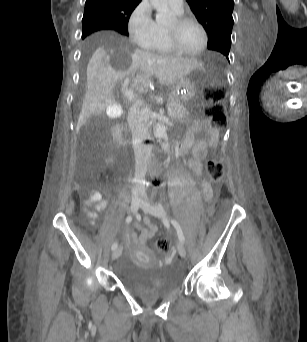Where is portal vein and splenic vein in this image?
Returning a JSON list of instances; mask_svg holds the SVG:
<instances>
[{"label":"portal vein and splenic vein","instance_id":"portal-vein-and-splenic-vein-1","mask_svg":"<svg viewBox=\"0 0 307 342\" xmlns=\"http://www.w3.org/2000/svg\"><path fill=\"white\" fill-rule=\"evenodd\" d=\"M132 81V78L130 76H127L123 81L121 88L125 90V96L128 101H136L138 99V96L134 94V88L133 86H128L130 82ZM168 111H172L174 108L172 106H168L166 108Z\"/></svg>","mask_w":307,"mask_h":342}]
</instances>
